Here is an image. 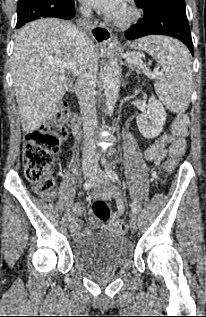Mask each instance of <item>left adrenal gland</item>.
<instances>
[{
	"label": "left adrenal gland",
	"mask_w": 206,
	"mask_h": 317,
	"mask_svg": "<svg viewBox=\"0 0 206 317\" xmlns=\"http://www.w3.org/2000/svg\"><path fill=\"white\" fill-rule=\"evenodd\" d=\"M133 70L134 68L132 67V65H128V72L126 73V77H128Z\"/></svg>",
	"instance_id": "obj_1"
}]
</instances>
